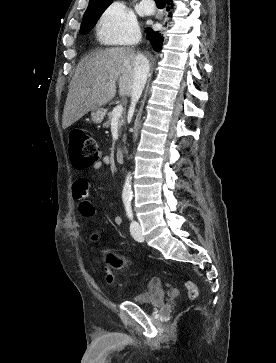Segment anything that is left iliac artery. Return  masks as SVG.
<instances>
[{
    "label": "left iliac artery",
    "instance_id": "44dca946",
    "mask_svg": "<svg viewBox=\"0 0 276 363\" xmlns=\"http://www.w3.org/2000/svg\"><path fill=\"white\" fill-rule=\"evenodd\" d=\"M124 204H125V210H126L127 216L129 217V219H132L133 218V212H132V207H131V201L126 200L124 202Z\"/></svg>",
    "mask_w": 276,
    "mask_h": 363
}]
</instances>
